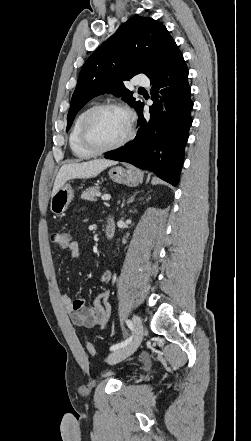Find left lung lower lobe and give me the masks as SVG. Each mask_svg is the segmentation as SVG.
Here are the masks:
<instances>
[{
    "label": "left lung lower lobe",
    "instance_id": "obj_1",
    "mask_svg": "<svg viewBox=\"0 0 251 441\" xmlns=\"http://www.w3.org/2000/svg\"><path fill=\"white\" fill-rule=\"evenodd\" d=\"M150 120L143 114L144 103L136 110L138 133L134 140L104 158L123 161L154 172L176 186L184 160V149L192 124L188 68L177 45L161 68L150 77ZM166 101V112L162 110Z\"/></svg>",
    "mask_w": 251,
    "mask_h": 441
}]
</instances>
